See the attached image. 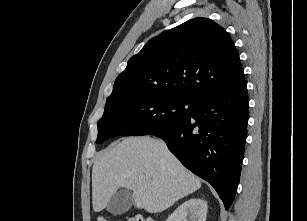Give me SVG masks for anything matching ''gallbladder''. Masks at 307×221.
I'll return each mask as SVG.
<instances>
[{
    "label": "gallbladder",
    "instance_id": "1",
    "mask_svg": "<svg viewBox=\"0 0 307 221\" xmlns=\"http://www.w3.org/2000/svg\"><path fill=\"white\" fill-rule=\"evenodd\" d=\"M133 204V193L128 189L118 190L110 199L107 211L113 215L126 213Z\"/></svg>",
    "mask_w": 307,
    "mask_h": 221
}]
</instances>
